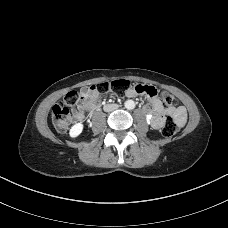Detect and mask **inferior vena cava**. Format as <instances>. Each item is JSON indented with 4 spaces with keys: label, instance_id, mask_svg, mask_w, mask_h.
Returning <instances> with one entry per match:
<instances>
[{
    "label": "inferior vena cava",
    "instance_id": "602c4592",
    "mask_svg": "<svg viewBox=\"0 0 228 228\" xmlns=\"http://www.w3.org/2000/svg\"><path fill=\"white\" fill-rule=\"evenodd\" d=\"M119 106L117 104H107L103 107L105 112H111L118 108Z\"/></svg>",
    "mask_w": 228,
    "mask_h": 228
}]
</instances>
